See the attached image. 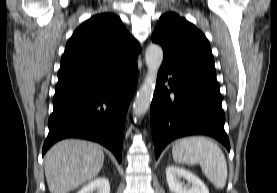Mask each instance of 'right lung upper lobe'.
I'll return each mask as SVG.
<instances>
[{
    "mask_svg": "<svg viewBox=\"0 0 277 193\" xmlns=\"http://www.w3.org/2000/svg\"><path fill=\"white\" fill-rule=\"evenodd\" d=\"M140 46L111 13L92 16L79 26L66 44L58 83L90 77L137 58Z\"/></svg>",
    "mask_w": 277,
    "mask_h": 193,
    "instance_id": "obj_1",
    "label": "right lung upper lobe"
}]
</instances>
